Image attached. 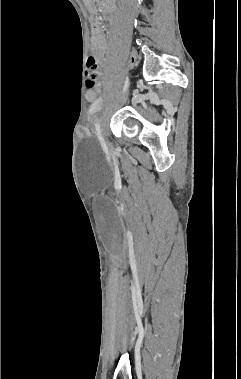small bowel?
Listing matches in <instances>:
<instances>
[{
    "mask_svg": "<svg viewBox=\"0 0 241 379\" xmlns=\"http://www.w3.org/2000/svg\"><path fill=\"white\" fill-rule=\"evenodd\" d=\"M92 53L94 58L97 61H102L103 53L106 50L107 43L102 34L101 29L98 26L94 27L93 36L91 40ZM97 90H88L86 93V97L90 102H94L95 104L99 103L97 99Z\"/></svg>",
    "mask_w": 241,
    "mask_h": 379,
    "instance_id": "1",
    "label": "small bowel"
}]
</instances>
